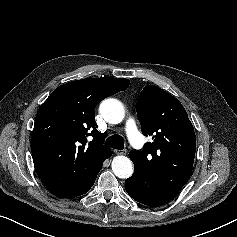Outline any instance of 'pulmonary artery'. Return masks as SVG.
<instances>
[{
    "label": "pulmonary artery",
    "mask_w": 237,
    "mask_h": 237,
    "mask_svg": "<svg viewBox=\"0 0 237 237\" xmlns=\"http://www.w3.org/2000/svg\"><path fill=\"white\" fill-rule=\"evenodd\" d=\"M126 133L130 143L135 147L142 145L141 135L136 127V124L132 118H129L126 123Z\"/></svg>",
    "instance_id": "1"
}]
</instances>
